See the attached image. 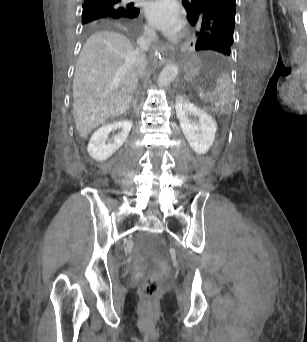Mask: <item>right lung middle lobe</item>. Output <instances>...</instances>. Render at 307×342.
<instances>
[{
    "mask_svg": "<svg viewBox=\"0 0 307 342\" xmlns=\"http://www.w3.org/2000/svg\"><path fill=\"white\" fill-rule=\"evenodd\" d=\"M112 14V11L105 9H88L83 10L82 12V24L93 21L95 19L109 16Z\"/></svg>",
    "mask_w": 307,
    "mask_h": 342,
    "instance_id": "dd1d6c3e",
    "label": "right lung middle lobe"
}]
</instances>
